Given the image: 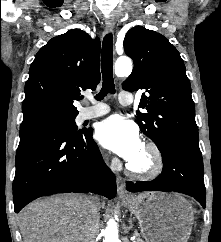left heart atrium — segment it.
<instances>
[{"mask_svg":"<svg viewBox=\"0 0 221 242\" xmlns=\"http://www.w3.org/2000/svg\"><path fill=\"white\" fill-rule=\"evenodd\" d=\"M101 145L130 162L142 148L136 125L116 115L101 122L96 130Z\"/></svg>","mask_w":221,"mask_h":242,"instance_id":"obj_1","label":"left heart atrium"}]
</instances>
